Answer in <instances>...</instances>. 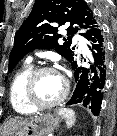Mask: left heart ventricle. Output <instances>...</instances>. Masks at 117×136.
I'll list each match as a JSON object with an SVG mask.
<instances>
[{"label": "left heart ventricle", "instance_id": "1", "mask_svg": "<svg viewBox=\"0 0 117 136\" xmlns=\"http://www.w3.org/2000/svg\"><path fill=\"white\" fill-rule=\"evenodd\" d=\"M64 89V82L56 72L42 73L35 85V97L40 103H49L56 100Z\"/></svg>", "mask_w": 117, "mask_h": 136}]
</instances>
